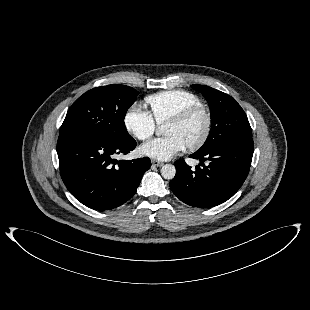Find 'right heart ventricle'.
<instances>
[{
  "label": "right heart ventricle",
  "instance_id": "e07e8e85",
  "mask_svg": "<svg viewBox=\"0 0 310 310\" xmlns=\"http://www.w3.org/2000/svg\"><path fill=\"white\" fill-rule=\"evenodd\" d=\"M148 113L155 123L164 124L182 110L202 104L194 93L185 90H166L145 97Z\"/></svg>",
  "mask_w": 310,
  "mask_h": 310
}]
</instances>
